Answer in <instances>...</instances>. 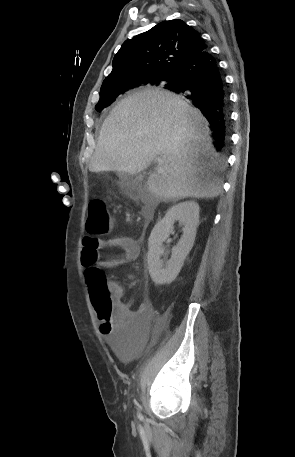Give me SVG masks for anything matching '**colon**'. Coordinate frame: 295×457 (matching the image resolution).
Masks as SVG:
<instances>
[{
	"instance_id": "1",
	"label": "colon",
	"mask_w": 295,
	"mask_h": 457,
	"mask_svg": "<svg viewBox=\"0 0 295 457\" xmlns=\"http://www.w3.org/2000/svg\"><path fill=\"white\" fill-rule=\"evenodd\" d=\"M111 225L112 220L106 202L102 199L92 200L88 206L87 230L91 234L100 235L109 232ZM84 272L98 318L108 322L114 310L113 289L97 264L89 263Z\"/></svg>"
}]
</instances>
